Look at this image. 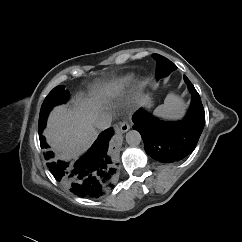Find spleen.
<instances>
[{"mask_svg":"<svg viewBox=\"0 0 242 242\" xmlns=\"http://www.w3.org/2000/svg\"><path fill=\"white\" fill-rule=\"evenodd\" d=\"M185 104L181 98L170 93L165 98L164 104L155 109V113L169 120L180 119L184 113Z\"/></svg>","mask_w":242,"mask_h":242,"instance_id":"obj_1","label":"spleen"}]
</instances>
